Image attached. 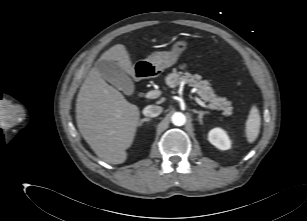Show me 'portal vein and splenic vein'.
Returning <instances> with one entry per match:
<instances>
[{"label": "portal vein and splenic vein", "instance_id": "obj_1", "mask_svg": "<svg viewBox=\"0 0 307 221\" xmlns=\"http://www.w3.org/2000/svg\"><path fill=\"white\" fill-rule=\"evenodd\" d=\"M161 95V91L159 90H152L146 93L145 97L147 99H155L158 98ZM195 101L202 107L208 108V106L198 97H195Z\"/></svg>", "mask_w": 307, "mask_h": 221}]
</instances>
